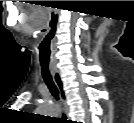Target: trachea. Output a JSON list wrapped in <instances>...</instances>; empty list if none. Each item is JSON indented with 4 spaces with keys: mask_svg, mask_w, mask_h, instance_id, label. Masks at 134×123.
Segmentation results:
<instances>
[{
    "mask_svg": "<svg viewBox=\"0 0 134 123\" xmlns=\"http://www.w3.org/2000/svg\"><path fill=\"white\" fill-rule=\"evenodd\" d=\"M47 55L48 54L46 53L45 49H40V57L41 58L44 56H47ZM41 69H42L43 79H44L45 83L47 84L51 94L54 96V98L56 100H58V98H59L58 88L52 79V76L49 71L48 63H44L41 61Z\"/></svg>",
    "mask_w": 134,
    "mask_h": 123,
    "instance_id": "3493384b",
    "label": "trachea"
}]
</instances>
